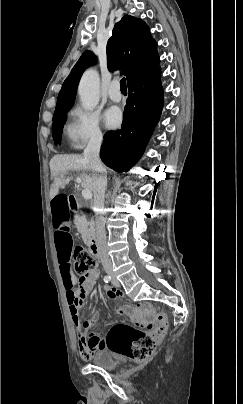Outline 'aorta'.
Returning a JSON list of instances; mask_svg holds the SVG:
<instances>
[{
  "mask_svg": "<svg viewBox=\"0 0 243 404\" xmlns=\"http://www.w3.org/2000/svg\"><path fill=\"white\" fill-rule=\"evenodd\" d=\"M80 102L84 110H94L100 100V80L99 74L93 68L84 72L79 88Z\"/></svg>",
  "mask_w": 243,
  "mask_h": 404,
  "instance_id": "aorta-1",
  "label": "aorta"
}]
</instances>
